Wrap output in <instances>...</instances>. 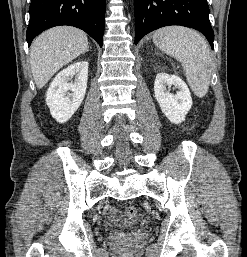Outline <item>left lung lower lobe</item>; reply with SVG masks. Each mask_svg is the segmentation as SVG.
<instances>
[{"mask_svg": "<svg viewBox=\"0 0 247 257\" xmlns=\"http://www.w3.org/2000/svg\"><path fill=\"white\" fill-rule=\"evenodd\" d=\"M134 11L135 44L160 27L181 25L200 31L213 49L207 0H134Z\"/></svg>", "mask_w": 247, "mask_h": 257, "instance_id": "left-lung-lower-lobe-1", "label": "left lung lower lobe"}]
</instances>
